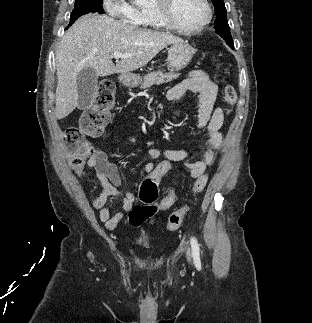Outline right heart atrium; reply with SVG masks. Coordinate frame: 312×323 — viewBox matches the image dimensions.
Listing matches in <instances>:
<instances>
[{
    "label": "right heart atrium",
    "mask_w": 312,
    "mask_h": 323,
    "mask_svg": "<svg viewBox=\"0 0 312 323\" xmlns=\"http://www.w3.org/2000/svg\"><path fill=\"white\" fill-rule=\"evenodd\" d=\"M108 13H114L115 17H123V22H138L141 10L129 5V0H104Z\"/></svg>",
    "instance_id": "1"
}]
</instances>
